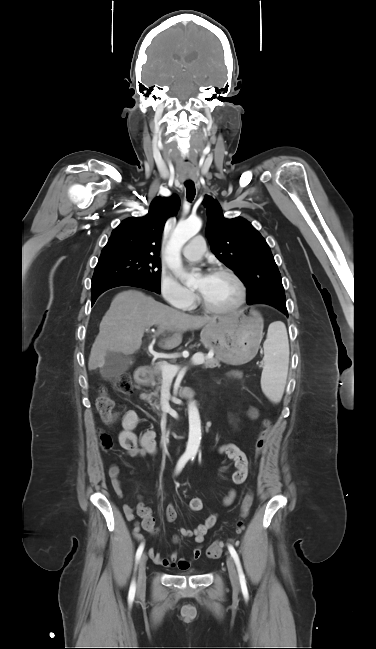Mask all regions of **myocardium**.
<instances>
[{"mask_svg": "<svg viewBox=\"0 0 376 649\" xmlns=\"http://www.w3.org/2000/svg\"><path fill=\"white\" fill-rule=\"evenodd\" d=\"M223 273L228 275L233 279V281L236 283L238 290H239V295L238 299L236 300L235 303L232 305L225 307V308H216L212 307L207 303V301L204 299L203 295L197 291V301L200 307L205 310L206 312L210 314H215V315H228L235 313L237 310H239L245 303L246 297H247V290L246 286L243 282V280L240 278V276L233 271L232 269L225 267V266H217L212 268L211 274H219Z\"/></svg>", "mask_w": 376, "mask_h": 649, "instance_id": "myocardium-1", "label": "myocardium"}]
</instances>
